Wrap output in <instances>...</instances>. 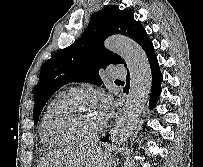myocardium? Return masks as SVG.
<instances>
[{"instance_id":"myocardium-1","label":"myocardium","mask_w":203,"mask_h":167,"mask_svg":"<svg viewBox=\"0 0 203 167\" xmlns=\"http://www.w3.org/2000/svg\"><path fill=\"white\" fill-rule=\"evenodd\" d=\"M90 95L87 92L84 91H74L71 93L66 99H64L60 104H58L47 116L45 120V130L47 134L52 137L53 139H56L58 141H61L65 144H85L92 142L99 138L101 134L104 132L105 129V123H103L102 127L95 132L94 134L87 136V137H70L67 136L59 131H57L53 127L54 121L62 115L64 112L67 111V109L78 99L80 98H89Z\"/></svg>"}]
</instances>
